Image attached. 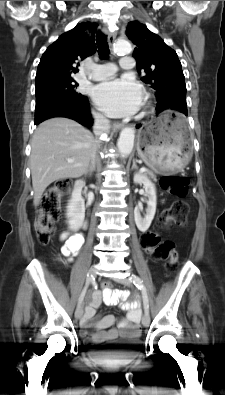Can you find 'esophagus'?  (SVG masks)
Masks as SVG:
<instances>
[{"label":"esophagus","mask_w":225,"mask_h":395,"mask_svg":"<svg viewBox=\"0 0 225 395\" xmlns=\"http://www.w3.org/2000/svg\"><path fill=\"white\" fill-rule=\"evenodd\" d=\"M103 32L108 36L109 43H110V45H112L115 41V38H116V32L110 31L108 29L107 25H104ZM123 126L124 125L122 123H118V122L113 123L114 130H119V129L123 128Z\"/></svg>","instance_id":"obj_1"}]
</instances>
